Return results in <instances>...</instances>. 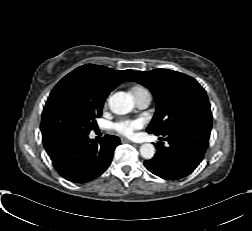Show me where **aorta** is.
<instances>
[{
	"instance_id": "obj_1",
	"label": "aorta",
	"mask_w": 252,
	"mask_h": 231,
	"mask_svg": "<svg viewBox=\"0 0 252 231\" xmlns=\"http://www.w3.org/2000/svg\"><path fill=\"white\" fill-rule=\"evenodd\" d=\"M110 110L118 115H124L134 107L132 97L126 92H117L113 94L108 100ZM140 154L144 159H152L155 154V147L151 143L142 144L140 147Z\"/></svg>"
}]
</instances>
